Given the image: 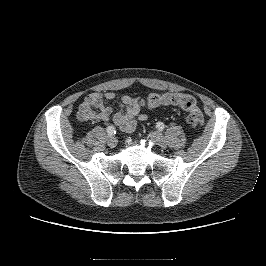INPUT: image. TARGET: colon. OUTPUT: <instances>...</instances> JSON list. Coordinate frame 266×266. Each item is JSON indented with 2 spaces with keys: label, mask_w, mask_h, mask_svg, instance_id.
I'll use <instances>...</instances> for the list:
<instances>
[{
  "label": "colon",
  "mask_w": 266,
  "mask_h": 266,
  "mask_svg": "<svg viewBox=\"0 0 266 266\" xmlns=\"http://www.w3.org/2000/svg\"><path fill=\"white\" fill-rule=\"evenodd\" d=\"M141 104L148 108L160 106H176L187 114V122L193 128L199 127L203 123V113L199 108L195 97L183 93H151L145 97Z\"/></svg>",
  "instance_id": "obj_1"
}]
</instances>
